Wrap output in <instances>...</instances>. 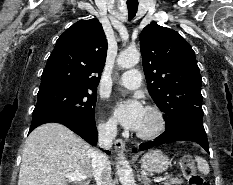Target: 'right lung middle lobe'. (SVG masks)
Returning <instances> with one entry per match:
<instances>
[{"mask_svg":"<svg viewBox=\"0 0 233 185\" xmlns=\"http://www.w3.org/2000/svg\"><path fill=\"white\" fill-rule=\"evenodd\" d=\"M95 95L89 90L56 87L39 90L33 115L39 113L66 114L95 121Z\"/></svg>","mask_w":233,"mask_h":185,"instance_id":"obj_1","label":"right lung middle lobe"}]
</instances>
